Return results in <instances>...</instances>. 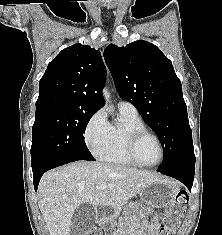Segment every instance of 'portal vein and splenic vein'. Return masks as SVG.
Segmentation results:
<instances>
[{
    "label": "portal vein and splenic vein",
    "mask_w": 222,
    "mask_h": 235,
    "mask_svg": "<svg viewBox=\"0 0 222 235\" xmlns=\"http://www.w3.org/2000/svg\"><path fill=\"white\" fill-rule=\"evenodd\" d=\"M107 188V185L103 184V185H100L97 187V189H100V190H103V189H106Z\"/></svg>",
    "instance_id": "obj_1"
}]
</instances>
